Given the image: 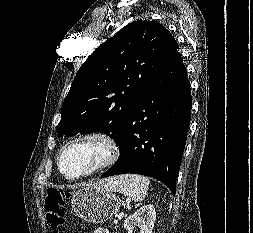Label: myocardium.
Returning <instances> with one entry per match:
<instances>
[{
  "instance_id": "1",
  "label": "myocardium",
  "mask_w": 253,
  "mask_h": 233,
  "mask_svg": "<svg viewBox=\"0 0 253 233\" xmlns=\"http://www.w3.org/2000/svg\"><path fill=\"white\" fill-rule=\"evenodd\" d=\"M81 143L99 144L105 149V154L103 158L90 170L84 173L75 175V176H70L66 174L65 171L63 170L62 159H63L64 154L69 148ZM119 156H120V147L116 138L108 132L96 130V131H91L83 135L77 136L71 139L70 141H68L61 148V150L59 151L57 155V167H58L59 172L65 179L69 181H77V180L86 178L88 176H91L103 169L111 167L117 162Z\"/></svg>"
}]
</instances>
